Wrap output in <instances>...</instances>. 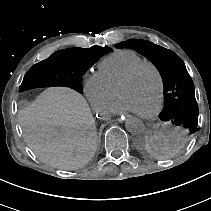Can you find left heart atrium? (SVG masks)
<instances>
[{"label":"left heart atrium","instance_id":"1","mask_svg":"<svg viewBox=\"0 0 211 211\" xmlns=\"http://www.w3.org/2000/svg\"><path fill=\"white\" fill-rule=\"evenodd\" d=\"M127 111H132L135 112L133 110V108L130 106V104L125 100V99H118L111 107V109L108 111V113L110 114H120V113H124Z\"/></svg>","mask_w":211,"mask_h":211}]
</instances>
